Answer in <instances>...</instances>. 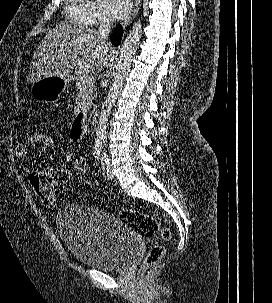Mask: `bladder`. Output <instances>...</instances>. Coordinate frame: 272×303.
I'll list each match as a JSON object with an SVG mask.
<instances>
[{
  "mask_svg": "<svg viewBox=\"0 0 272 303\" xmlns=\"http://www.w3.org/2000/svg\"><path fill=\"white\" fill-rule=\"evenodd\" d=\"M56 227L70 253L80 263L99 270L124 269L139 250L132 228L116 216L86 205L60 207Z\"/></svg>",
  "mask_w": 272,
  "mask_h": 303,
  "instance_id": "31cf9c89",
  "label": "bladder"
}]
</instances>
